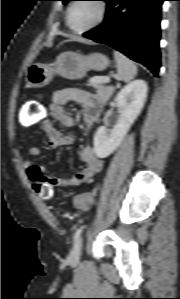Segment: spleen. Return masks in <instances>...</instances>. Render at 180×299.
<instances>
[{
	"instance_id": "spleen-1",
	"label": "spleen",
	"mask_w": 180,
	"mask_h": 299,
	"mask_svg": "<svg viewBox=\"0 0 180 299\" xmlns=\"http://www.w3.org/2000/svg\"><path fill=\"white\" fill-rule=\"evenodd\" d=\"M114 58L117 67V77L129 83L137 74V67L132 60L118 51H114Z\"/></svg>"
}]
</instances>
